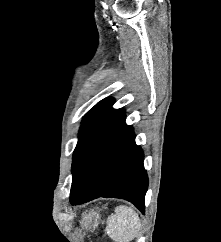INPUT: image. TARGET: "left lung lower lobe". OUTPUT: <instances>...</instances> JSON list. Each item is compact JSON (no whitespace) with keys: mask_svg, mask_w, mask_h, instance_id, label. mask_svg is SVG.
Returning <instances> with one entry per match:
<instances>
[{"mask_svg":"<svg viewBox=\"0 0 221 242\" xmlns=\"http://www.w3.org/2000/svg\"><path fill=\"white\" fill-rule=\"evenodd\" d=\"M143 151L135 144L133 128L125 118L107 132L86 155L73 177L72 205L98 197L122 198L144 213L148 177Z\"/></svg>","mask_w":221,"mask_h":242,"instance_id":"left-lung-lower-lobe-1","label":"left lung lower lobe"}]
</instances>
